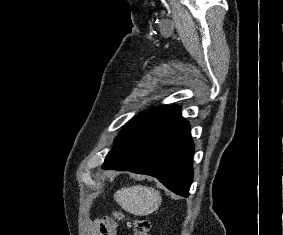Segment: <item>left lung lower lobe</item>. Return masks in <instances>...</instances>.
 <instances>
[{
  "label": "left lung lower lobe",
  "mask_w": 283,
  "mask_h": 235,
  "mask_svg": "<svg viewBox=\"0 0 283 235\" xmlns=\"http://www.w3.org/2000/svg\"><path fill=\"white\" fill-rule=\"evenodd\" d=\"M193 152L190 125L180 107L171 105L133 132L102 168L154 176L172 192L188 197Z\"/></svg>",
  "instance_id": "1"
}]
</instances>
